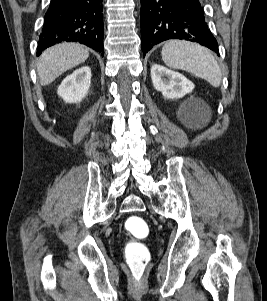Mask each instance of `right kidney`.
Instances as JSON below:
<instances>
[{"label":"right kidney","instance_id":"right-kidney-1","mask_svg":"<svg viewBox=\"0 0 267 301\" xmlns=\"http://www.w3.org/2000/svg\"><path fill=\"white\" fill-rule=\"evenodd\" d=\"M91 85V69L88 66L75 70L58 87V95L67 103H78L88 94Z\"/></svg>","mask_w":267,"mask_h":301}]
</instances>
